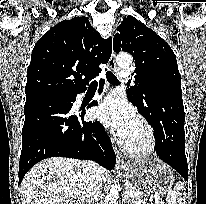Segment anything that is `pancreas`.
<instances>
[{"label":"pancreas","mask_w":206,"mask_h":204,"mask_svg":"<svg viewBox=\"0 0 206 204\" xmlns=\"http://www.w3.org/2000/svg\"><path fill=\"white\" fill-rule=\"evenodd\" d=\"M132 190V189H131ZM134 191V190H133ZM135 192V191H134ZM137 194V197H130L129 198V202L130 204H143L144 202L142 201V196L141 194L135 192ZM139 200H141L142 202L140 203Z\"/></svg>","instance_id":"pancreas-1"}]
</instances>
